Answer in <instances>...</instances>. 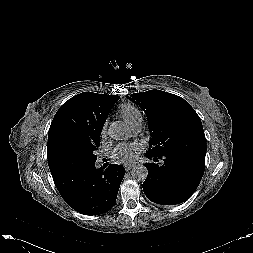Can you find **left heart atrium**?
I'll return each mask as SVG.
<instances>
[{
    "label": "left heart atrium",
    "instance_id": "39dd6f15",
    "mask_svg": "<svg viewBox=\"0 0 253 253\" xmlns=\"http://www.w3.org/2000/svg\"><path fill=\"white\" fill-rule=\"evenodd\" d=\"M137 147L133 144H120L115 149V156L123 161H131L134 158Z\"/></svg>",
    "mask_w": 253,
    "mask_h": 253
}]
</instances>
